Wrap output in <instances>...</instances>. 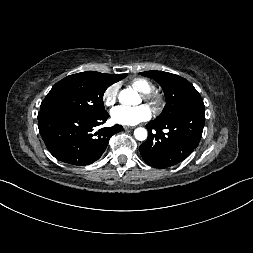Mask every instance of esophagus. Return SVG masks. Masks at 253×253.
<instances>
[{"mask_svg":"<svg viewBox=\"0 0 253 253\" xmlns=\"http://www.w3.org/2000/svg\"><path fill=\"white\" fill-rule=\"evenodd\" d=\"M123 128L125 130H131V129H134L135 127L134 126H123Z\"/></svg>","mask_w":253,"mask_h":253,"instance_id":"34e87169","label":"esophagus"}]
</instances>
